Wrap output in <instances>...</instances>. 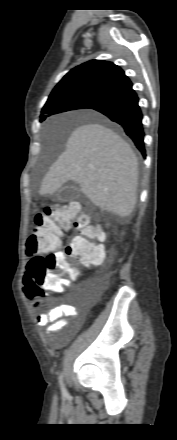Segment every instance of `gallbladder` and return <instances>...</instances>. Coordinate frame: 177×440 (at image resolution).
Masks as SVG:
<instances>
[{
  "instance_id": "obj_1",
  "label": "gallbladder",
  "mask_w": 177,
  "mask_h": 440,
  "mask_svg": "<svg viewBox=\"0 0 177 440\" xmlns=\"http://www.w3.org/2000/svg\"><path fill=\"white\" fill-rule=\"evenodd\" d=\"M80 197V190L74 185H66L53 195V201L69 202Z\"/></svg>"
}]
</instances>
